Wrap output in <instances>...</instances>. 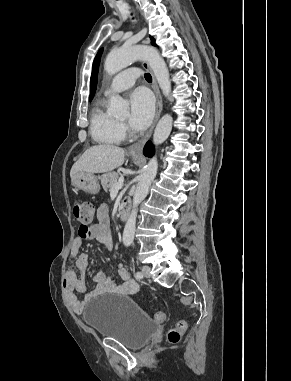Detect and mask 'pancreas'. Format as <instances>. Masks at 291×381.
<instances>
[{
	"instance_id": "obj_1",
	"label": "pancreas",
	"mask_w": 291,
	"mask_h": 381,
	"mask_svg": "<svg viewBox=\"0 0 291 381\" xmlns=\"http://www.w3.org/2000/svg\"><path fill=\"white\" fill-rule=\"evenodd\" d=\"M100 180L105 192L111 191L115 183H117L118 173L117 172L106 173L100 177Z\"/></svg>"
}]
</instances>
